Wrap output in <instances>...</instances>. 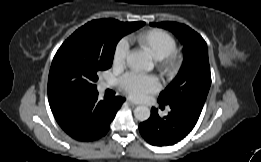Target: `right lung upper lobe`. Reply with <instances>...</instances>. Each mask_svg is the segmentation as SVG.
Masks as SVG:
<instances>
[{"instance_id": "obj_1", "label": "right lung upper lobe", "mask_w": 261, "mask_h": 162, "mask_svg": "<svg viewBox=\"0 0 261 162\" xmlns=\"http://www.w3.org/2000/svg\"><path fill=\"white\" fill-rule=\"evenodd\" d=\"M67 103L68 102H53V101H49L50 108H51L52 112H55V111L59 110L62 106H64Z\"/></svg>"}]
</instances>
